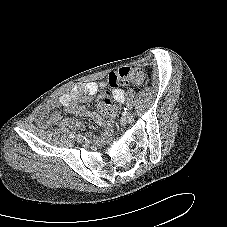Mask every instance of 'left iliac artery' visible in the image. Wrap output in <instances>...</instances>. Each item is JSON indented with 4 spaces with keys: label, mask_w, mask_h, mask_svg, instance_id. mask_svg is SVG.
I'll return each mask as SVG.
<instances>
[{
    "label": "left iliac artery",
    "mask_w": 227,
    "mask_h": 227,
    "mask_svg": "<svg viewBox=\"0 0 227 227\" xmlns=\"http://www.w3.org/2000/svg\"><path fill=\"white\" fill-rule=\"evenodd\" d=\"M132 108V105L130 103H127L125 110H131Z\"/></svg>",
    "instance_id": "left-iliac-artery-1"
}]
</instances>
